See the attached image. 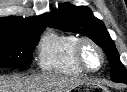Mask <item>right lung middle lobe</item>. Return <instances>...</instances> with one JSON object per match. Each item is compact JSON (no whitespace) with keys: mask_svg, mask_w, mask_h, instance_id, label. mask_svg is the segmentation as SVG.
<instances>
[{"mask_svg":"<svg viewBox=\"0 0 127 92\" xmlns=\"http://www.w3.org/2000/svg\"><path fill=\"white\" fill-rule=\"evenodd\" d=\"M43 30L37 29L20 35H0V68L29 66Z\"/></svg>","mask_w":127,"mask_h":92,"instance_id":"dd1d6c3e","label":"right lung middle lobe"}]
</instances>
